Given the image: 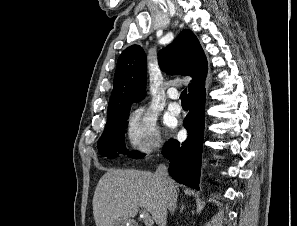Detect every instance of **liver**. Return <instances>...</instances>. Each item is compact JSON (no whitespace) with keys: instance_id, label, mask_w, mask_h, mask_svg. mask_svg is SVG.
<instances>
[{"instance_id":"1","label":"liver","mask_w":297,"mask_h":226,"mask_svg":"<svg viewBox=\"0 0 297 226\" xmlns=\"http://www.w3.org/2000/svg\"><path fill=\"white\" fill-rule=\"evenodd\" d=\"M96 226H113L120 218L135 217L144 208L158 226H166L165 190L155 174L119 169L107 171L99 180L93 197Z\"/></svg>"}]
</instances>
